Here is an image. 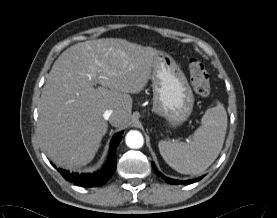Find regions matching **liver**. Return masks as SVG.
I'll list each match as a JSON object with an SVG mask.
<instances>
[{
    "instance_id": "liver-1",
    "label": "liver",
    "mask_w": 277,
    "mask_h": 218,
    "mask_svg": "<svg viewBox=\"0 0 277 218\" xmlns=\"http://www.w3.org/2000/svg\"><path fill=\"white\" fill-rule=\"evenodd\" d=\"M158 56L155 48L115 38L66 49L52 66L38 107V132L48 157L65 168L90 163L108 131L104 112L113 111L114 127L129 122L130 94L147 85Z\"/></svg>"
}]
</instances>
